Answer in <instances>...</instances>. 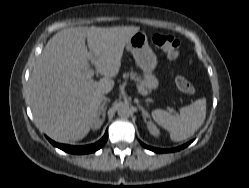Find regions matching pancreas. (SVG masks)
<instances>
[{
    "mask_svg": "<svg viewBox=\"0 0 249 188\" xmlns=\"http://www.w3.org/2000/svg\"><path fill=\"white\" fill-rule=\"evenodd\" d=\"M123 78L124 80H127L128 78L133 79L134 81L137 82V88L139 93H141L142 95H146L147 94V90L145 89L143 82L141 81L140 76L136 73L131 71L130 73H123Z\"/></svg>",
    "mask_w": 249,
    "mask_h": 188,
    "instance_id": "pancreas-1",
    "label": "pancreas"
}]
</instances>
